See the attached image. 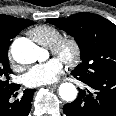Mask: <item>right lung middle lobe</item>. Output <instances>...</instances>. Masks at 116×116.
Returning a JSON list of instances; mask_svg holds the SVG:
<instances>
[{
  "instance_id": "1",
  "label": "right lung middle lobe",
  "mask_w": 116,
  "mask_h": 116,
  "mask_svg": "<svg viewBox=\"0 0 116 116\" xmlns=\"http://www.w3.org/2000/svg\"><path fill=\"white\" fill-rule=\"evenodd\" d=\"M33 23V21H30L28 26ZM9 45V42H0V94L8 92L15 85L9 83V74L12 73L8 60Z\"/></svg>"
}]
</instances>
